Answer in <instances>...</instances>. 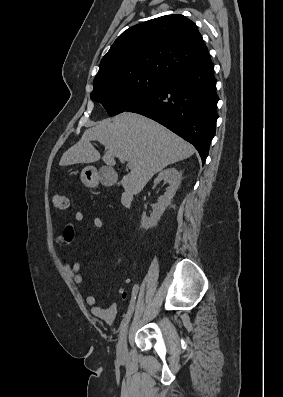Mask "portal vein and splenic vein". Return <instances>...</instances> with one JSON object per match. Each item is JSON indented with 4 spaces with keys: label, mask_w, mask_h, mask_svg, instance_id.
<instances>
[{
    "label": "portal vein and splenic vein",
    "mask_w": 283,
    "mask_h": 397,
    "mask_svg": "<svg viewBox=\"0 0 283 397\" xmlns=\"http://www.w3.org/2000/svg\"><path fill=\"white\" fill-rule=\"evenodd\" d=\"M119 160L122 162V163H124V162H126L127 160L126 159H124V158H119ZM128 166H129V164H128Z\"/></svg>",
    "instance_id": "obj_1"
}]
</instances>
